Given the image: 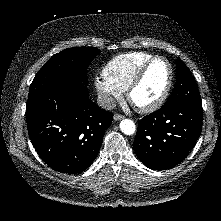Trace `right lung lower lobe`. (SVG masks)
I'll return each mask as SVG.
<instances>
[{
  "label": "right lung lower lobe",
  "instance_id": "1",
  "mask_svg": "<svg viewBox=\"0 0 221 221\" xmlns=\"http://www.w3.org/2000/svg\"><path fill=\"white\" fill-rule=\"evenodd\" d=\"M112 117L77 81L56 84L26 105L35 150L48 166L67 174L81 173L93 163Z\"/></svg>",
  "mask_w": 221,
  "mask_h": 221
}]
</instances>
